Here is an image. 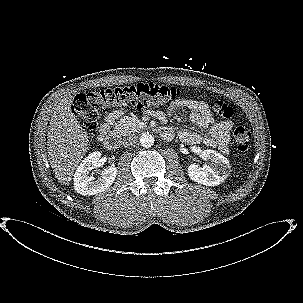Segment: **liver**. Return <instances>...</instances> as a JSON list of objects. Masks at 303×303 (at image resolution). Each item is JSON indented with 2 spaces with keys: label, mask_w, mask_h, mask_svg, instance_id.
<instances>
[{
  "label": "liver",
  "mask_w": 303,
  "mask_h": 303,
  "mask_svg": "<svg viewBox=\"0 0 303 303\" xmlns=\"http://www.w3.org/2000/svg\"><path fill=\"white\" fill-rule=\"evenodd\" d=\"M73 96L65 95L56 105L47 132V151L58 182L69 185L74 171L88 150V134L72 113Z\"/></svg>",
  "instance_id": "liver-1"
}]
</instances>
